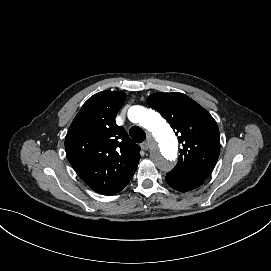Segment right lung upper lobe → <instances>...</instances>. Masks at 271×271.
Returning <instances> with one entry per match:
<instances>
[{"instance_id": "right-lung-upper-lobe-1", "label": "right lung upper lobe", "mask_w": 271, "mask_h": 271, "mask_svg": "<svg viewBox=\"0 0 271 271\" xmlns=\"http://www.w3.org/2000/svg\"><path fill=\"white\" fill-rule=\"evenodd\" d=\"M125 98L120 91L93 95L83 104L65 138L66 155L73 169L103 195L121 191L140 159V146L115 122Z\"/></svg>"}]
</instances>
